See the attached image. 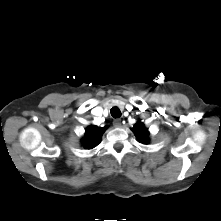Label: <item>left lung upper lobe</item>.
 <instances>
[{
    "label": "left lung upper lobe",
    "mask_w": 221,
    "mask_h": 221,
    "mask_svg": "<svg viewBox=\"0 0 221 221\" xmlns=\"http://www.w3.org/2000/svg\"><path fill=\"white\" fill-rule=\"evenodd\" d=\"M132 131L137 136L139 142L144 144L148 142L149 132L148 129L145 128L143 123L139 122L135 124L134 127L132 128Z\"/></svg>",
    "instance_id": "5c2ea615"
}]
</instances>
